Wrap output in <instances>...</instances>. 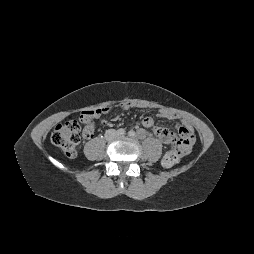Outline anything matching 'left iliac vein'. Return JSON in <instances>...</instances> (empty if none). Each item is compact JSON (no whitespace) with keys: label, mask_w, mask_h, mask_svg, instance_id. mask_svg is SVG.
<instances>
[{"label":"left iliac vein","mask_w":254,"mask_h":254,"mask_svg":"<svg viewBox=\"0 0 254 254\" xmlns=\"http://www.w3.org/2000/svg\"><path fill=\"white\" fill-rule=\"evenodd\" d=\"M118 137H123V135H118Z\"/></svg>","instance_id":"4c4485c4"}]
</instances>
